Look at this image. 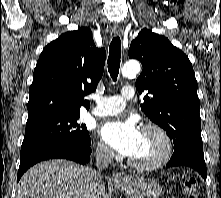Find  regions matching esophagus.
<instances>
[{
    "label": "esophagus",
    "instance_id": "34e87169",
    "mask_svg": "<svg viewBox=\"0 0 221 198\" xmlns=\"http://www.w3.org/2000/svg\"><path fill=\"white\" fill-rule=\"evenodd\" d=\"M112 30L115 35H119L122 32V28L119 24H114ZM112 180L115 183L124 182V178L120 172H114L112 175Z\"/></svg>",
    "mask_w": 221,
    "mask_h": 198
}]
</instances>
